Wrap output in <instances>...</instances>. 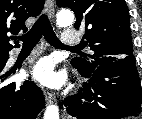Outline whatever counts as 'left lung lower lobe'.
<instances>
[{
	"label": "left lung lower lobe",
	"instance_id": "obj_1",
	"mask_svg": "<svg viewBox=\"0 0 142 119\" xmlns=\"http://www.w3.org/2000/svg\"><path fill=\"white\" fill-rule=\"evenodd\" d=\"M80 74L89 82L64 102L75 119H121L141 114L142 88L135 61H114Z\"/></svg>",
	"mask_w": 142,
	"mask_h": 119
}]
</instances>
